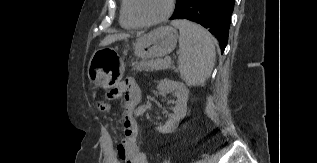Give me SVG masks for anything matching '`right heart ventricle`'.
I'll return each instance as SVG.
<instances>
[{
    "label": "right heart ventricle",
    "mask_w": 317,
    "mask_h": 163,
    "mask_svg": "<svg viewBox=\"0 0 317 163\" xmlns=\"http://www.w3.org/2000/svg\"><path fill=\"white\" fill-rule=\"evenodd\" d=\"M128 0H122L120 9V24L125 29H135L137 25L131 20L128 13Z\"/></svg>",
    "instance_id": "e07e8e85"
}]
</instances>
